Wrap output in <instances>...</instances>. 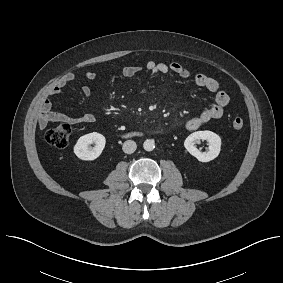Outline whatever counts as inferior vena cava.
I'll return each instance as SVG.
<instances>
[{
    "mask_svg": "<svg viewBox=\"0 0 283 283\" xmlns=\"http://www.w3.org/2000/svg\"><path fill=\"white\" fill-rule=\"evenodd\" d=\"M136 148H137V145L132 140L125 141L122 146L123 152L126 154L133 153L136 150Z\"/></svg>",
    "mask_w": 283,
    "mask_h": 283,
    "instance_id": "602c4592",
    "label": "inferior vena cava"
}]
</instances>
